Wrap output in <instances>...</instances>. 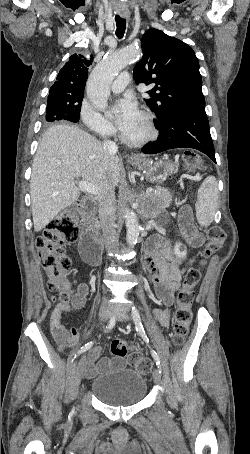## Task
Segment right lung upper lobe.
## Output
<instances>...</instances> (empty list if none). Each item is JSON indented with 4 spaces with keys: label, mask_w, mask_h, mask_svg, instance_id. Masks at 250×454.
<instances>
[{
    "label": "right lung upper lobe",
    "mask_w": 250,
    "mask_h": 454,
    "mask_svg": "<svg viewBox=\"0 0 250 454\" xmlns=\"http://www.w3.org/2000/svg\"><path fill=\"white\" fill-rule=\"evenodd\" d=\"M93 56L86 60L84 56L73 54L60 70L57 81L50 88L49 96L58 98H74L84 95L88 66L92 64Z\"/></svg>",
    "instance_id": "cb5924a9"
}]
</instances>
